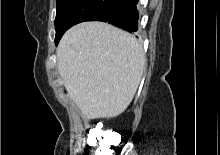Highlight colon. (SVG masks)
Returning a JSON list of instances; mask_svg holds the SVG:
<instances>
[{"label":"colon","mask_w":220,"mask_h":155,"mask_svg":"<svg viewBox=\"0 0 220 155\" xmlns=\"http://www.w3.org/2000/svg\"><path fill=\"white\" fill-rule=\"evenodd\" d=\"M94 136L98 143H92L91 146H87V151H97L93 152V155H113L112 137L107 133H99Z\"/></svg>","instance_id":"5ec220e1"}]
</instances>
